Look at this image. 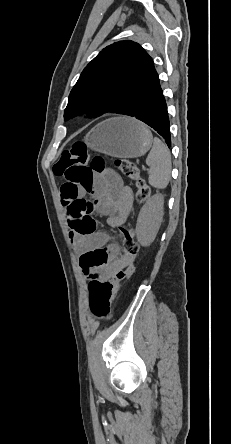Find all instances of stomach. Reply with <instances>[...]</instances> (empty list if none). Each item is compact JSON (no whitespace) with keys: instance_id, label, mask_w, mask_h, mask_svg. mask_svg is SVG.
I'll use <instances>...</instances> for the list:
<instances>
[{"instance_id":"stomach-1","label":"stomach","mask_w":231,"mask_h":444,"mask_svg":"<svg viewBox=\"0 0 231 444\" xmlns=\"http://www.w3.org/2000/svg\"><path fill=\"white\" fill-rule=\"evenodd\" d=\"M84 142L89 148L113 157L137 158L151 148L153 138L143 123L121 116L97 124Z\"/></svg>"}]
</instances>
